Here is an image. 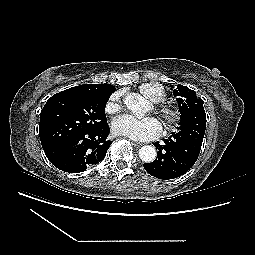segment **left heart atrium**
Segmentation results:
<instances>
[{
    "instance_id": "left-heart-atrium-1",
    "label": "left heart atrium",
    "mask_w": 255,
    "mask_h": 255,
    "mask_svg": "<svg viewBox=\"0 0 255 255\" xmlns=\"http://www.w3.org/2000/svg\"><path fill=\"white\" fill-rule=\"evenodd\" d=\"M112 131L133 140L147 141L159 136L161 125L153 117L137 119L130 115H120L112 121Z\"/></svg>"
}]
</instances>
